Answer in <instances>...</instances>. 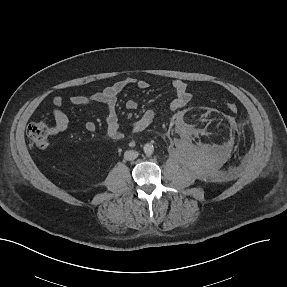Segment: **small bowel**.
Wrapping results in <instances>:
<instances>
[{
    "mask_svg": "<svg viewBox=\"0 0 287 287\" xmlns=\"http://www.w3.org/2000/svg\"><path fill=\"white\" fill-rule=\"evenodd\" d=\"M128 86L146 89L149 87V84L145 80L127 77L92 94L72 96L69 98L68 103L73 106L105 104L107 106L106 136L112 141H119L124 137V133L116 112L117 97ZM171 87L175 96L169 104L170 110H177L186 106L190 102L192 96L188 92L185 82L175 79L171 82ZM63 104L64 100L60 96L55 97L52 101V116L55 121V130L58 132L64 131L69 123V119L63 111ZM125 106L128 110H136L138 103L133 99H129ZM154 119L155 112L153 110H147L132 123L130 131L132 133L143 132L153 123ZM85 128L92 132L96 129V124L92 121H88L85 124Z\"/></svg>",
    "mask_w": 287,
    "mask_h": 287,
    "instance_id": "obj_1",
    "label": "small bowel"
}]
</instances>
